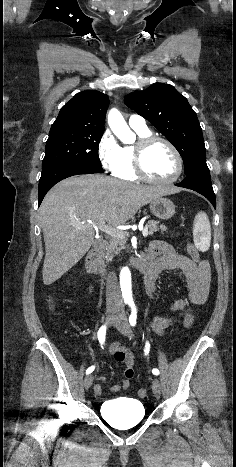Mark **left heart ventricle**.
Here are the masks:
<instances>
[{
    "instance_id": "b2bd125f",
    "label": "left heart ventricle",
    "mask_w": 236,
    "mask_h": 467,
    "mask_svg": "<svg viewBox=\"0 0 236 467\" xmlns=\"http://www.w3.org/2000/svg\"><path fill=\"white\" fill-rule=\"evenodd\" d=\"M145 169L155 179H169L177 170V162L172 151L163 143H154L144 159Z\"/></svg>"
}]
</instances>
